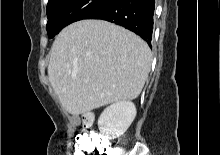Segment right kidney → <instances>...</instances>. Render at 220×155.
Instances as JSON below:
<instances>
[{"instance_id": "ca27d5eb", "label": "right kidney", "mask_w": 220, "mask_h": 155, "mask_svg": "<svg viewBox=\"0 0 220 155\" xmlns=\"http://www.w3.org/2000/svg\"><path fill=\"white\" fill-rule=\"evenodd\" d=\"M136 116L135 105L120 101L107 107L98 119L100 132L109 139L123 135Z\"/></svg>"}]
</instances>
